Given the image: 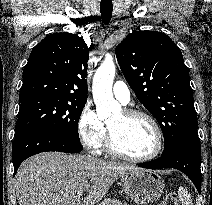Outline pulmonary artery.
I'll return each mask as SVG.
<instances>
[{"label":"pulmonary artery","mask_w":212,"mask_h":205,"mask_svg":"<svg viewBox=\"0 0 212 205\" xmlns=\"http://www.w3.org/2000/svg\"><path fill=\"white\" fill-rule=\"evenodd\" d=\"M113 94L123 104H127L130 100V90L123 81H117L114 83Z\"/></svg>","instance_id":"pulmonary-artery-1"}]
</instances>
